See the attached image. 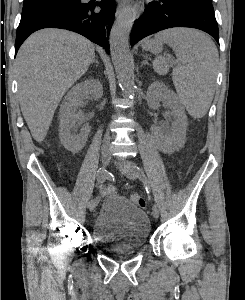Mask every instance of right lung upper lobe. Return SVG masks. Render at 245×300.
<instances>
[{
  "label": "right lung upper lobe",
  "mask_w": 245,
  "mask_h": 300,
  "mask_svg": "<svg viewBox=\"0 0 245 300\" xmlns=\"http://www.w3.org/2000/svg\"><path fill=\"white\" fill-rule=\"evenodd\" d=\"M28 1H34V0H24V2H28Z\"/></svg>",
  "instance_id": "cb5924a9"
}]
</instances>
